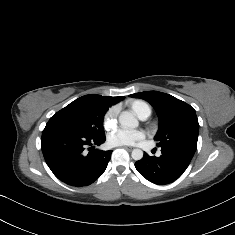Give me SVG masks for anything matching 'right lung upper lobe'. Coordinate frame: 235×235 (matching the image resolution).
Segmentation results:
<instances>
[{
  "mask_svg": "<svg viewBox=\"0 0 235 235\" xmlns=\"http://www.w3.org/2000/svg\"><path fill=\"white\" fill-rule=\"evenodd\" d=\"M124 96L107 97L96 94L82 96L75 101L85 104L86 106L101 112H106L111 105L123 100Z\"/></svg>",
  "mask_w": 235,
  "mask_h": 235,
  "instance_id": "1",
  "label": "right lung upper lobe"
}]
</instances>
